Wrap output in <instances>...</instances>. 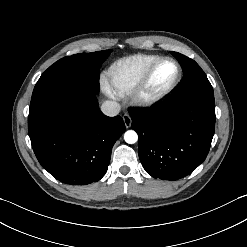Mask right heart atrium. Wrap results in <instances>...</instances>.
Here are the masks:
<instances>
[{
	"label": "right heart atrium",
	"instance_id": "1",
	"mask_svg": "<svg viewBox=\"0 0 247 247\" xmlns=\"http://www.w3.org/2000/svg\"><path fill=\"white\" fill-rule=\"evenodd\" d=\"M101 84H102V87H103V89L105 90L106 93H108L109 95H113L114 94L113 91L111 90L109 84L105 80H102Z\"/></svg>",
	"mask_w": 247,
	"mask_h": 247
}]
</instances>
